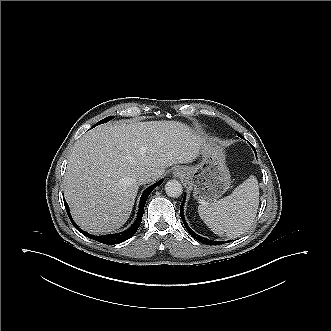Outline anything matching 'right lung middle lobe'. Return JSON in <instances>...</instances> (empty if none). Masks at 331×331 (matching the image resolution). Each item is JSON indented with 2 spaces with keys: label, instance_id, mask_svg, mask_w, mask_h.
Masks as SVG:
<instances>
[{
  "label": "right lung middle lobe",
  "instance_id": "dd1d6c3e",
  "mask_svg": "<svg viewBox=\"0 0 331 331\" xmlns=\"http://www.w3.org/2000/svg\"><path fill=\"white\" fill-rule=\"evenodd\" d=\"M114 117H115V116H109V117H107V118H104L103 120H101V121H99L97 124H95L94 127H95L96 125H98V124L106 123V122L112 120Z\"/></svg>",
  "mask_w": 331,
  "mask_h": 331
}]
</instances>
